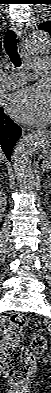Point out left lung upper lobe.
Masks as SVG:
<instances>
[{"instance_id": "5c2ea615", "label": "left lung upper lobe", "mask_w": 51, "mask_h": 393, "mask_svg": "<svg viewBox=\"0 0 51 393\" xmlns=\"http://www.w3.org/2000/svg\"><path fill=\"white\" fill-rule=\"evenodd\" d=\"M38 29L47 31L51 35V21H45L39 24Z\"/></svg>"}]
</instances>
